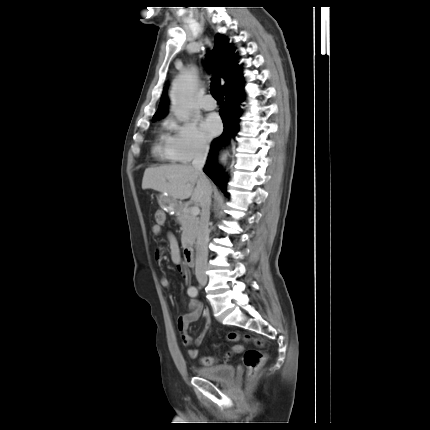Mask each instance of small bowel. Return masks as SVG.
I'll return each instance as SVG.
<instances>
[{"mask_svg":"<svg viewBox=\"0 0 430 430\" xmlns=\"http://www.w3.org/2000/svg\"><path fill=\"white\" fill-rule=\"evenodd\" d=\"M161 231H162V228L160 225L155 224L152 226V233L154 235L156 236L160 235ZM168 243H169V253L172 261L177 265V268L180 271V273L183 275V277L185 279H188L190 276V272L181 262V255H180L178 242L174 235L172 234L168 235ZM164 252H165V248L163 247L158 248L156 250V255H155L156 260L160 261ZM160 284L162 287L168 288L170 286V280L164 276L160 279ZM188 307H189V312L187 314L180 316L177 320V327L180 333V338L183 345L190 346L192 344V338L187 332L188 327L191 323L197 321L201 317V315H203L204 329L200 332V334L195 339V345L200 346L204 342L206 334L210 328L211 323H210L209 314L206 310L203 309L201 302L195 299H192L189 302ZM235 347L239 350H242V346L240 345H237ZM187 352H188V356L192 359L197 358L199 355V350L197 348H190L188 349Z\"/></svg>","mask_w":430,"mask_h":430,"instance_id":"1","label":"small bowel"}]
</instances>
